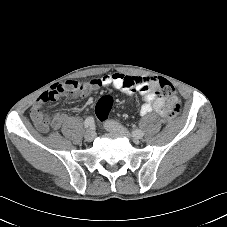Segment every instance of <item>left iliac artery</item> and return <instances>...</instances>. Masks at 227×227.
I'll use <instances>...</instances> for the list:
<instances>
[{
	"label": "left iliac artery",
	"mask_w": 227,
	"mask_h": 227,
	"mask_svg": "<svg viewBox=\"0 0 227 227\" xmlns=\"http://www.w3.org/2000/svg\"><path fill=\"white\" fill-rule=\"evenodd\" d=\"M132 135H133V137H136V138H142L144 133H143V131L136 129V130L132 131Z\"/></svg>",
	"instance_id": "1"
}]
</instances>
